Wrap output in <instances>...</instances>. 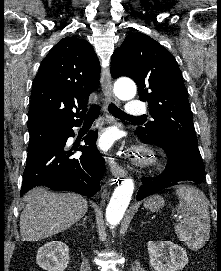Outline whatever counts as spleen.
<instances>
[{
    "label": "spleen",
    "instance_id": "1",
    "mask_svg": "<svg viewBox=\"0 0 221 271\" xmlns=\"http://www.w3.org/2000/svg\"><path fill=\"white\" fill-rule=\"evenodd\" d=\"M179 203L172 209L179 215V223L174 225L179 241H184L190 249H201L210 237V215L207 199L195 187H178Z\"/></svg>",
    "mask_w": 221,
    "mask_h": 271
}]
</instances>
